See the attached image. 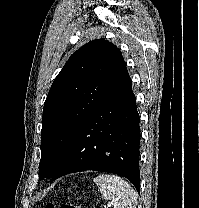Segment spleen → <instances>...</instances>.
Listing matches in <instances>:
<instances>
[{
	"label": "spleen",
	"instance_id": "3e777b00",
	"mask_svg": "<svg viewBox=\"0 0 199 208\" xmlns=\"http://www.w3.org/2000/svg\"><path fill=\"white\" fill-rule=\"evenodd\" d=\"M102 197L109 200L114 208H136L138 195L131 185L122 178L101 174L93 179Z\"/></svg>",
	"mask_w": 199,
	"mask_h": 208
}]
</instances>
